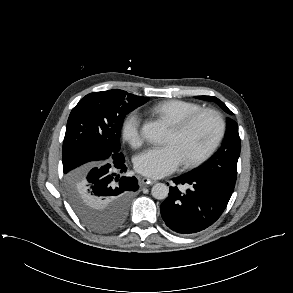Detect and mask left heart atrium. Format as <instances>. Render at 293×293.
I'll use <instances>...</instances> for the list:
<instances>
[{"label":"left heart atrium","mask_w":293,"mask_h":293,"mask_svg":"<svg viewBox=\"0 0 293 293\" xmlns=\"http://www.w3.org/2000/svg\"><path fill=\"white\" fill-rule=\"evenodd\" d=\"M183 163L179 150L173 145L150 147L139 153L134 161L135 169L146 176L161 178Z\"/></svg>","instance_id":"39dd6f15"}]
</instances>
